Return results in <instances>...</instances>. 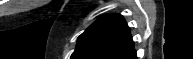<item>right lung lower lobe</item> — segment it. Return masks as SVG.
<instances>
[{
    "label": "right lung lower lobe",
    "mask_w": 193,
    "mask_h": 59,
    "mask_svg": "<svg viewBox=\"0 0 193 59\" xmlns=\"http://www.w3.org/2000/svg\"><path fill=\"white\" fill-rule=\"evenodd\" d=\"M129 59H137L136 53L134 55H132L131 57H129Z\"/></svg>",
    "instance_id": "98d812e1"
}]
</instances>
